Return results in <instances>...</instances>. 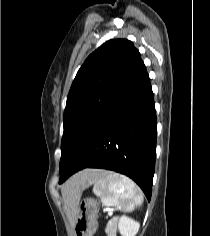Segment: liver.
<instances>
[{
    "mask_svg": "<svg viewBox=\"0 0 210 236\" xmlns=\"http://www.w3.org/2000/svg\"><path fill=\"white\" fill-rule=\"evenodd\" d=\"M104 171L98 169H86L73 175L63 186L62 196L68 218L74 224L77 216L79 200L82 191L92 185Z\"/></svg>",
    "mask_w": 210,
    "mask_h": 236,
    "instance_id": "6515ba94",
    "label": "liver"
}]
</instances>
